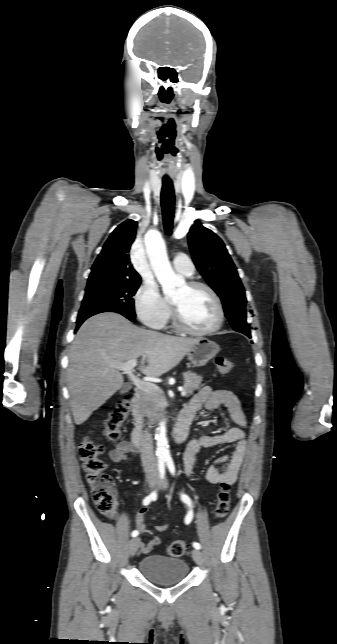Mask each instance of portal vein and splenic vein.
I'll return each mask as SVG.
<instances>
[{"label": "portal vein and splenic vein", "instance_id": "portal-vein-and-splenic-vein-1", "mask_svg": "<svg viewBox=\"0 0 337 644\" xmlns=\"http://www.w3.org/2000/svg\"><path fill=\"white\" fill-rule=\"evenodd\" d=\"M136 365H137V360L133 359L127 362H114L112 366L126 373L129 376L130 380L138 389L143 390L145 392L161 391L157 385L152 384L150 382L143 381L134 375L133 368ZM181 396L183 397L186 396L185 389H181Z\"/></svg>", "mask_w": 337, "mask_h": 644}]
</instances>
